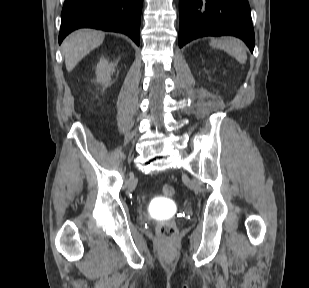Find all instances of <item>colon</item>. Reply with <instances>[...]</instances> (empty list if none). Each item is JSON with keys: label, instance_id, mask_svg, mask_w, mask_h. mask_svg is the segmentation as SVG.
<instances>
[{"label": "colon", "instance_id": "obj_1", "mask_svg": "<svg viewBox=\"0 0 309 288\" xmlns=\"http://www.w3.org/2000/svg\"><path fill=\"white\" fill-rule=\"evenodd\" d=\"M174 193V188L170 185H163L160 188V194L162 197H170ZM177 229L173 222L166 221L160 224L158 228V236L162 240L173 239L176 235Z\"/></svg>", "mask_w": 309, "mask_h": 288}]
</instances>
